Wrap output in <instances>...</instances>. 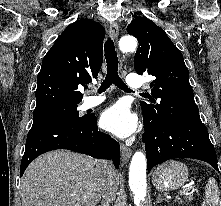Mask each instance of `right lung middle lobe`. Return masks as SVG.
Wrapping results in <instances>:
<instances>
[{"instance_id":"right-lung-middle-lobe-1","label":"right lung middle lobe","mask_w":221,"mask_h":206,"mask_svg":"<svg viewBox=\"0 0 221 206\" xmlns=\"http://www.w3.org/2000/svg\"><path fill=\"white\" fill-rule=\"evenodd\" d=\"M78 103L75 104H52L36 107L33 113V125L58 122V121H83L88 116H79Z\"/></svg>"}]
</instances>
